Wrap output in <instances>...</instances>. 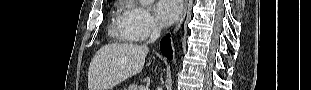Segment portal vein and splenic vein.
<instances>
[{"label": "portal vein and splenic vein", "instance_id": "18ae733b", "mask_svg": "<svg viewBox=\"0 0 311 90\" xmlns=\"http://www.w3.org/2000/svg\"><path fill=\"white\" fill-rule=\"evenodd\" d=\"M140 90H149V86H144Z\"/></svg>", "mask_w": 311, "mask_h": 90}]
</instances>
